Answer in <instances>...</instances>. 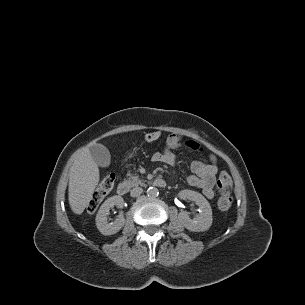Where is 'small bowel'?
<instances>
[{
	"label": "small bowel",
	"instance_id": "c3829d8e",
	"mask_svg": "<svg viewBox=\"0 0 305 305\" xmlns=\"http://www.w3.org/2000/svg\"><path fill=\"white\" fill-rule=\"evenodd\" d=\"M181 144L182 137L180 135H168L165 140V149L162 152L153 153L151 160L156 163L173 165L176 161L174 150L179 148ZM194 144L197 146L196 149H199V144L196 142H194ZM191 172L192 174L187 178L188 183L191 186L200 189L206 198L212 199L214 197L213 187L217 173L216 159L214 155H209L206 161H194L191 164Z\"/></svg>",
	"mask_w": 305,
	"mask_h": 305
}]
</instances>
